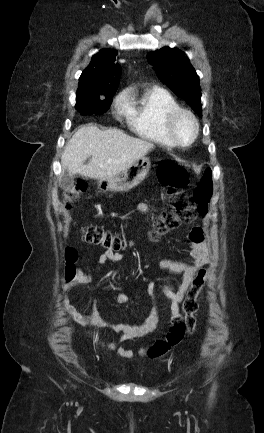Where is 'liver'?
<instances>
[{"instance_id": "liver-1", "label": "liver", "mask_w": 264, "mask_h": 433, "mask_svg": "<svg viewBox=\"0 0 264 433\" xmlns=\"http://www.w3.org/2000/svg\"><path fill=\"white\" fill-rule=\"evenodd\" d=\"M152 149L153 143L119 129L100 130L96 125H84L66 143L61 164L71 176L80 174L103 180L120 175ZM90 156L92 159L85 165Z\"/></svg>"}]
</instances>
